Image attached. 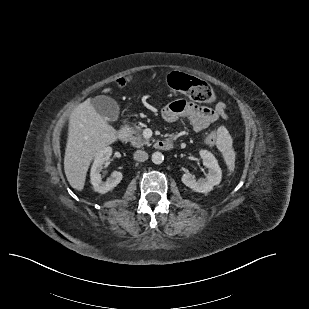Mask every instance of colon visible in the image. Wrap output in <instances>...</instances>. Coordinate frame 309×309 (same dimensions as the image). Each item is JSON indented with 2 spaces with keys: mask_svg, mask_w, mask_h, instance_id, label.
<instances>
[{
  "mask_svg": "<svg viewBox=\"0 0 309 309\" xmlns=\"http://www.w3.org/2000/svg\"><path fill=\"white\" fill-rule=\"evenodd\" d=\"M128 82L129 78H123L118 83L125 86ZM167 84L170 89L184 93L196 102L210 104L215 100V93L207 83L185 73H172L167 79ZM215 140L214 134L206 138L208 144H214Z\"/></svg>",
  "mask_w": 309,
  "mask_h": 309,
  "instance_id": "obj_1",
  "label": "colon"
}]
</instances>
